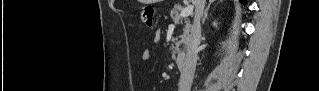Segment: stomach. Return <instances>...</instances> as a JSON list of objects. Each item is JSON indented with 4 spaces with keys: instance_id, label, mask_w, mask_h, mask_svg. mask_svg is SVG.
<instances>
[{
    "instance_id": "0dacf381",
    "label": "stomach",
    "mask_w": 319,
    "mask_h": 91,
    "mask_svg": "<svg viewBox=\"0 0 319 91\" xmlns=\"http://www.w3.org/2000/svg\"><path fill=\"white\" fill-rule=\"evenodd\" d=\"M145 3H153V2H157V0H144Z\"/></svg>"
}]
</instances>
